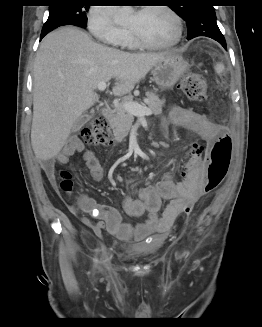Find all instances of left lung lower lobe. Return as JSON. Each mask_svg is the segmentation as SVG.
I'll use <instances>...</instances> for the list:
<instances>
[{
	"label": "left lung lower lobe",
	"mask_w": 262,
	"mask_h": 327,
	"mask_svg": "<svg viewBox=\"0 0 262 327\" xmlns=\"http://www.w3.org/2000/svg\"><path fill=\"white\" fill-rule=\"evenodd\" d=\"M197 36L210 37V38L216 40L217 42H219L224 47V49H227L226 41L224 39V36H223V34L221 33V31L219 30L218 27L216 29H210V30L206 29L204 31L196 30L192 34H188L187 39H192V38L197 37Z\"/></svg>",
	"instance_id": "obj_1"
}]
</instances>
